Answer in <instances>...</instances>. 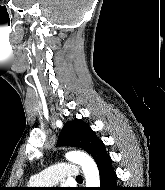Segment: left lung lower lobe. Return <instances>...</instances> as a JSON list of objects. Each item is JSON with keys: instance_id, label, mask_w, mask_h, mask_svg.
Listing matches in <instances>:
<instances>
[{"instance_id": "0a47b994", "label": "left lung lower lobe", "mask_w": 165, "mask_h": 190, "mask_svg": "<svg viewBox=\"0 0 165 190\" xmlns=\"http://www.w3.org/2000/svg\"><path fill=\"white\" fill-rule=\"evenodd\" d=\"M111 158L109 155L97 162L100 174L101 187L97 190H118L116 186V173L111 166Z\"/></svg>"}]
</instances>
